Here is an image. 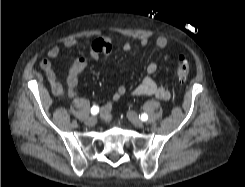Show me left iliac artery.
<instances>
[{
	"label": "left iliac artery",
	"instance_id": "1",
	"mask_svg": "<svg viewBox=\"0 0 245 187\" xmlns=\"http://www.w3.org/2000/svg\"><path fill=\"white\" fill-rule=\"evenodd\" d=\"M139 118H140L142 121H147L148 115L145 114V113H143V114H141V115L139 116Z\"/></svg>",
	"mask_w": 245,
	"mask_h": 187
}]
</instances>
